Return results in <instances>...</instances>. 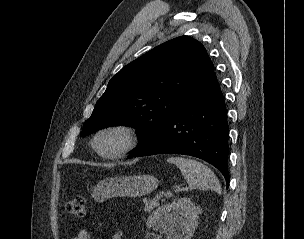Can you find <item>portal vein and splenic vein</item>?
<instances>
[{
    "label": "portal vein and splenic vein",
    "mask_w": 304,
    "mask_h": 239,
    "mask_svg": "<svg viewBox=\"0 0 304 239\" xmlns=\"http://www.w3.org/2000/svg\"><path fill=\"white\" fill-rule=\"evenodd\" d=\"M172 195V193L170 192V191H168L167 193H166V196H171Z\"/></svg>",
    "instance_id": "obj_1"
}]
</instances>
